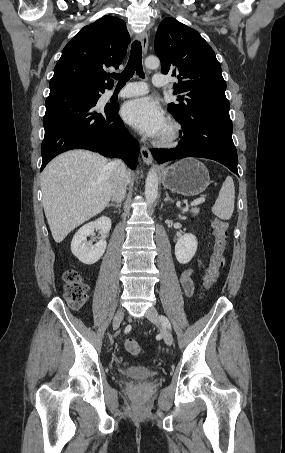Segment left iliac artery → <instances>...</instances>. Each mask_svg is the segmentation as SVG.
I'll list each match as a JSON object with an SVG mask.
<instances>
[{
    "instance_id": "1",
    "label": "left iliac artery",
    "mask_w": 285,
    "mask_h": 453,
    "mask_svg": "<svg viewBox=\"0 0 285 453\" xmlns=\"http://www.w3.org/2000/svg\"><path fill=\"white\" fill-rule=\"evenodd\" d=\"M160 321H161V323L164 326H166L167 328L171 329V324H170L169 320L165 316L161 315L160 316Z\"/></svg>"
}]
</instances>
